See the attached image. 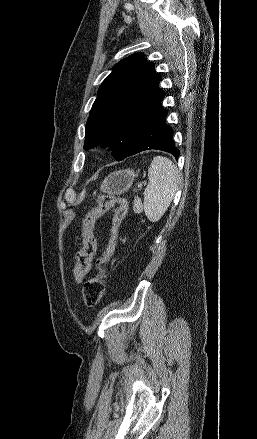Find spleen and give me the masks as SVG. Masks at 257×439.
I'll return each mask as SVG.
<instances>
[{"mask_svg":"<svg viewBox=\"0 0 257 439\" xmlns=\"http://www.w3.org/2000/svg\"><path fill=\"white\" fill-rule=\"evenodd\" d=\"M148 178L149 183L144 191V212L149 221L158 222L170 206L179 175L170 159L156 156L148 169Z\"/></svg>","mask_w":257,"mask_h":439,"instance_id":"1","label":"spleen"}]
</instances>
